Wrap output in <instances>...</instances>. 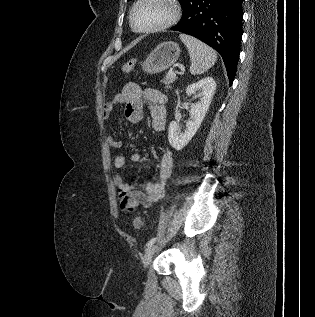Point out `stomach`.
Segmentation results:
<instances>
[{"label": "stomach", "mask_w": 315, "mask_h": 317, "mask_svg": "<svg viewBox=\"0 0 315 317\" xmlns=\"http://www.w3.org/2000/svg\"><path fill=\"white\" fill-rule=\"evenodd\" d=\"M180 47L175 42L159 44L141 64L142 70L147 74L162 72L171 67L179 58Z\"/></svg>", "instance_id": "stomach-1"}]
</instances>
